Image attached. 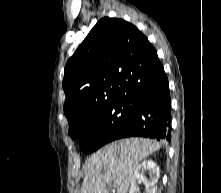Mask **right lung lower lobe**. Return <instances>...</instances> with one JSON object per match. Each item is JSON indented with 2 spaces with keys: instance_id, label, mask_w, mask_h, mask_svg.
Segmentation results:
<instances>
[{
  "instance_id": "1",
  "label": "right lung lower lobe",
  "mask_w": 221,
  "mask_h": 193,
  "mask_svg": "<svg viewBox=\"0 0 221 193\" xmlns=\"http://www.w3.org/2000/svg\"><path fill=\"white\" fill-rule=\"evenodd\" d=\"M135 111L113 140L141 136L171 139V98L163 66L160 65L135 96Z\"/></svg>"
}]
</instances>
